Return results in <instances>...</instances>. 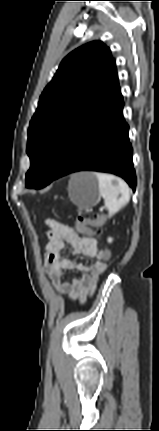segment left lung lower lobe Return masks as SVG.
Instances as JSON below:
<instances>
[{
    "label": "left lung lower lobe",
    "instance_id": "1",
    "mask_svg": "<svg viewBox=\"0 0 159 431\" xmlns=\"http://www.w3.org/2000/svg\"><path fill=\"white\" fill-rule=\"evenodd\" d=\"M123 106L120 91L106 108L78 131L53 180L78 171L107 172L122 177L135 191L133 150Z\"/></svg>",
    "mask_w": 159,
    "mask_h": 431
}]
</instances>
